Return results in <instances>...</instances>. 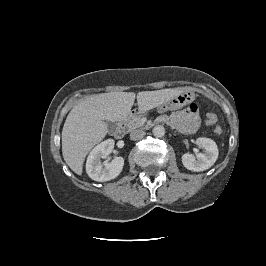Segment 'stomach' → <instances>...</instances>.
I'll return each mask as SVG.
<instances>
[{
	"label": "stomach",
	"mask_w": 266,
	"mask_h": 266,
	"mask_svg": "<svg viewBox=\"0 0 266 266\" xmlns=\"http://www.w3.org/2000/svg\"><path fill=\"white\" fill-rule=\"evenodd\" d=\"M193 93L188 89H183L179 94L170 98L163 104L158 107L160 112H165L167 110H173L180 108L186 104H188L191 100H193Z\"/></svg>",
	"instance_id": "1"
}]
</instances>
